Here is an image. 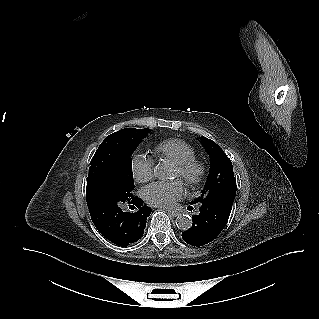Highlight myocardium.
<instances>
[{
    "mask_svg": "<svg viewBox=\"0 0 319 319\" xmlns=\"http://www.w3.org/2000/svg\"><path fill=\"white\" fill-rule=\"evenodd\" d=\"M175 166L180 172L181 179L191 187L199 185L206 175L205 165L195 158L178 163Z\"/></svg>",
    "mask_w": 319,
    "mask_h": 319,
    "instance_id": "f54148a6",
    "label": "myocardium"
}]
</instances>
